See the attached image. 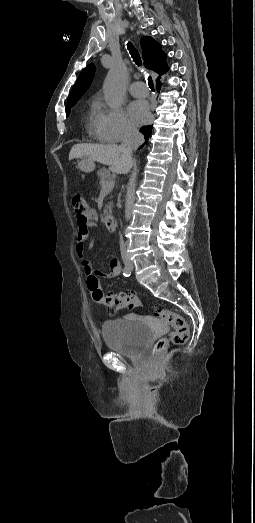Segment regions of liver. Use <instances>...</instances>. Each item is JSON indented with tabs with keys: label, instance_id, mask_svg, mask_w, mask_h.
I'll list each match as a JSON object with an SVG mask.
<instances>
[{
	"label": "liver",
	"instance_id": "6515ba94",
	"mask_svg": "<svg viewBox=\"0 0 255 523\" xmlns=\"http://www.w3.org/2000/svg\"><path fill=\"white\" fill-rule=\"evenodd\" d=\"M123 146H115V144H76L73 146L69 160L73 158H87L91 162H99L104 166H109L111 172L115 174H127L128 170L132 168V164H128L126 160L121 158Z\"/></svg>",
	"mask_w": 255,
	"mask_h": 523
}]
</instances>
